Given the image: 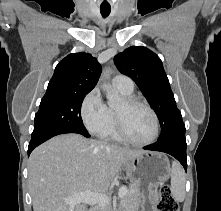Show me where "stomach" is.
<instances>
[{
	"mask_svg": "<svg viewBox=\"0 0 221 211\" xmlns=\"http://www.w3.org/2000/svg\"><path fill=\"white\" fill-rule=\"evenodd\" d=\"M125 170L131 183L139 190L138 209L141 211L146 206V200L155 194L158 185L171 174L168 159L157 152L140 153L126 163Z\"/></svg>",
	"mask_w": 221,
	"mask_h": 211,
	"instance_id": "stomach-1",
	"label": "stomach"
}]
</instances>
